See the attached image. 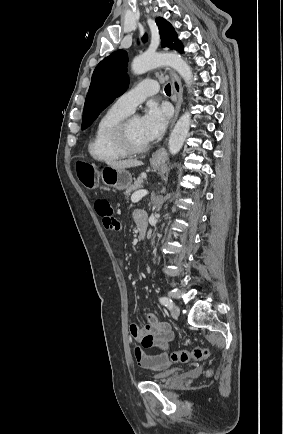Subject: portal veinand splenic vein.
<instances>
[{"mask_svg": "<svg viewBox=\"0 0 283 434\" xmlns=\"http://www.w3.org/2000/svg\"><path fill=\"white\" fill-rule=\"evenodd\" d=\"M148 194V192L146 190H139L136 191L135 193H133V195L131 196V201L133 203H137L139 202L144 196H146Z\"/></svg>", "mask_w": 283, "mask_h": 434, "instance_id": "obj_1", "label": "portal vein and splenic vein"}]
</instances>
